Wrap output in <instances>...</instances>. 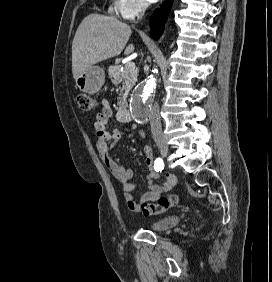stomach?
<instances>
[{"mask_svg": "<svg viewBox=\"0 0 272 282\" xmlns=\"http://www.w3.org/2000/svg\"><path fill=\"white\" fill-rule=\"evenodd\" d=\"M105 82V73L99 66H91L76 79V86L83 92L94 94Z\"/></svg>", "mask_w": 272, "mask_h": 282, "instance_id": "0dacf381", "label": "stomach"}]
</instances>
